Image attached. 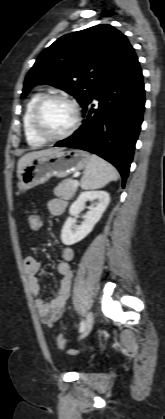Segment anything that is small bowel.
I'll use <instances>...</instances> for the list:
<instances>
[{
    "label": "small bowel",
    "instance_id": "obj_1",
    "mask_svg": "<svg viewBox=\"0 0 165 419\" xmlns=\"http://www.w3.org/2000/svg\"><path fill=\"white\" fill-rule=\"evenodd\" d=\"M66 208L65 201L61 199H51L47 202V210L53 216L63 214ZM61 260L57 263L56 269L61 276L60 288L58 293L49 301H45L38 296L41 293V283L38 277L41 265L34 255H27L24 259L25 273L28 279L29 288L36 298L35 308L44 324L53 326L63 315L65 304L69 298L73 273L70 261L74 258V250L69 246L61 249Z\"/></svg>",
    "mask_w": 165,
    "mask_h": 419
}]
</instances>
